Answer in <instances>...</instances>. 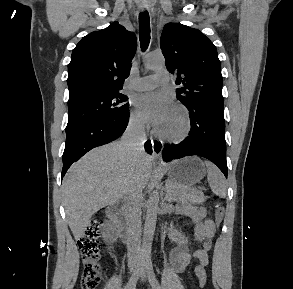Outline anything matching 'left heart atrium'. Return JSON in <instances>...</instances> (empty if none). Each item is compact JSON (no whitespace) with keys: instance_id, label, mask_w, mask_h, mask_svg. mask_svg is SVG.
<instances>
[{"instance_id":"obj_1","label":"left heart atrium","mask_w":293,"mask_h":289,"mask_svg":"<svg viewBox=\"0 0 293 289\" xmlns=\"http://www.w3.org/2000/svg\"><path fill=\"white\" fill-rule=\"evenodd\" d=\"M137 105L143 116L154 126H160L172 113L174 105L164 93L149 92L139 97Z\"/></svg>"}]
</instances>
